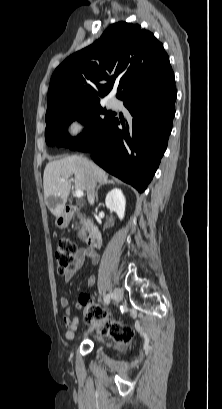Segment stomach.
Masks as SVG:
<instances>
[{"label":"stomach","mask_w":222,"mask_h":409,"mask_svg":"<svg viewBox=\"0 0 222 409\" xmlns=\"http://www.w3.org/2000/svg\"><path fill=\"white\" fill-rule=\"evenodd\" d=\"M70 220L71 215L63 209L62 212L56 216L55 225L56 227L63 229L69 225Z\"/></svg>","instance_id":"stomach-1"}]
</instances>
